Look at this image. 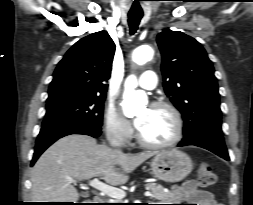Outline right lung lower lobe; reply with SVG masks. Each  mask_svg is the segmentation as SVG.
I'll use <instances>...</instances> for the list:
<instances>
[{
    "mask_svg": "<svg viewBox=\"0 0 253 205\" xmlns=\"http://www.w3.org/2000/svg\"><path fill=\"white\" fill-rule=\"evenodd\" d=\"M70 134H84L92 137H98L101 134V128L86 127L81 125H56L42 127L38 135L35 152L31 161L34 165L38 157L56 140Z\"/></svg>",
    "mask_w": 253,
    "mask_h": 205,
    "instance_id": "1",
    "label": "right lung lower lobe"
}]
</instances>
